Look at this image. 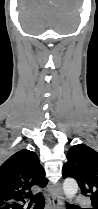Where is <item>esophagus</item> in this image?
Segmentation results:
<instances>
[{
	"label": "esophagus",
	"mask_w": 98,
	"mask_h": 209,
	"mask_svg": "<svg viewBox=\"0 0 98 209\" xmlns=\"http://www.w3.org/2000/svg\"><path fill=\"white\" fill-rule=\"evenodd\" d=\"M48 203L50 209H63L64 197L60 184L51 188Z\"/></svg>",
	"instance_id": "esophagus-1"
}]
</instances>
